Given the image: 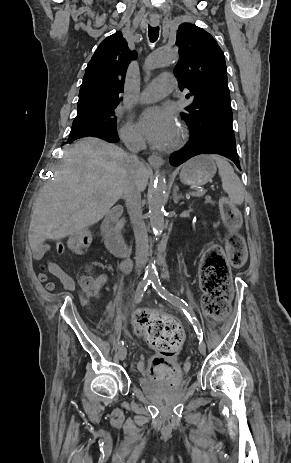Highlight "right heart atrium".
<instances>
[{"label": "right heart atrium", "instance_id": "d8ad5b80", "mask_svg": "<svg viewBox=\"0 0 291 463\" xmlns=\"http://www.w3.org/2000/svg\"><path fill=\"white\" fill-rule=\"evenodd\" d=\"M121 134L122 137L128 142L140 143L142 141V136L138 127L131 122H128L123 126Z\"/></svg>", "mask_w": 291, "mask_h": 463}]
</instances>
